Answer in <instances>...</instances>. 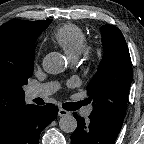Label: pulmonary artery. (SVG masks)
<instances>
[{"mask_svg":"<svg viewBox=\"0 0 144 144\" xmlns=\"http://www.w3.org/2000/svg\"><path fill=\"white\" fill-rule=\"evenodd\" d=\"M57 89H58L57 83H45L29 89L27 95L30 99L43 98L53 94L55 91H57ZM92 110L93 107L88 106L83 110L82 115L85 118H88Z\"/></svg>","mask_w":144,"mask_h":144,"instance_id":"1","label":"pulmonary artery"}]
</instances>
